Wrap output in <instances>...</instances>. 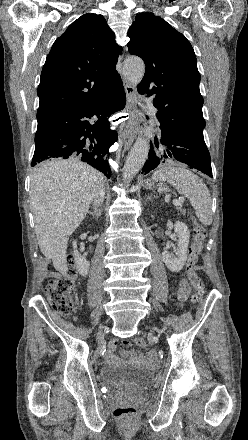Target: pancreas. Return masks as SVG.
<instances>
[{
    "label": "pancreas",
    "mask_w": 248,
    "mask_h": 440,
    "mask_svg": "<svg viewBox=\"0 0 248 440\" xmlns=\"http://www.w3.org/2000/svg\"><path fill=\"white\" fill-rule=\"evenodd\" d=\"M175 206H176V209H177L180 213H182L183 215L185 214V210L183 209V207H182L181 204H179V205H175Z\"/></svg>",
    "instance_id": "obj_1"
}]
</instances>
